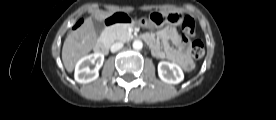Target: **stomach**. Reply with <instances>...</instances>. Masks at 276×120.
I'll return each instance as SVG.
<instances>
[{"label":"stomach","mask_w":276,"mask_h":120,"mask_svg":"<svg viewBox=\"0 0 276 120\" xmlns=\"http://www.w3.org/2000/svg\"><path fill=\"white\" fill-rule=\"evenodd\" d=\"M184 14L178 11H173L170 13L163 12H151L148 18H140L137 24L144 28L150 29H160L166 24H171L173 26H179L184 20Z\"/></svg>","instance_id":"stomach-1"}]
</instances>
